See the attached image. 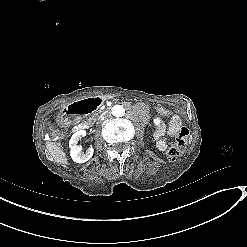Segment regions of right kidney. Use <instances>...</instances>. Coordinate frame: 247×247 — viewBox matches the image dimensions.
Wrapping results in <instances>:
<instances>
[{
  "instance_id": "right-kidney-1",
  "label": "right kidney",
  "mask_w": 247,
  "mask_h": 247,
  "mask_svg": "<svg viewBox=\"0 0 247 247\" xmlns=\"http://www.w3.org/2000/svg\"><path fill=\"white\" fill-rule=\"evenodd\" d=\"M86 136L85 130L75 132L69 140L70 156L76 163H85L93 156L94 149L89 147L85 152L82 151V146L78 145L79 140Z\"/></svg>"
}]
</instances>
